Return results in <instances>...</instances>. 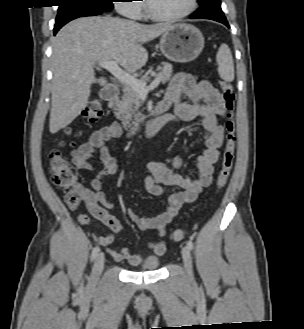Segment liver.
<instances>
[{"instance_id": "liver-1", "label": "liver", "mask_w": 304, "mask_h": 329, "mask_svg": "<svg viewBox=\"0 0 304 329\" xmlns=\"http://www.w3.org/2000/svg\"><path fill=\"white\" fill-rule=\"evenodd\" d=\"M170 26L101 16L79 18L65 25L53 40L50 132L55 134L68 126L85 108L96 63L115 61L135 72L148 60L143 44ZM99 82L107 83L104 78Z\"/></svg>"}]
</instances>
